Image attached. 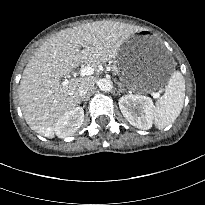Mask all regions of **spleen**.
Returning a JSON list of instances; mask_svg holds the SVG:
<instances>
[{
  "mask_svg": "<svg viewBox=\"0 0 205 205\" xmlns=\"http://www.w3.org/2000/svg\"><path fill=\"white\" fill-rule=\"evenodd\" d=\"M185 98V80L179 71H173L165 93L154 107V124L162 130L172 124L183 108Z\"/></svg>",
  "mask_w": 205,
  "mask_h": 205,
  "instance_id": "obj_1",
  "label": "spleen"
}]
</instances>
